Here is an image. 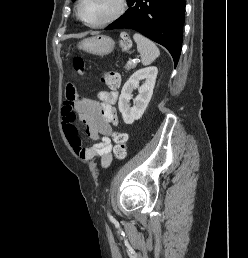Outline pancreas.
<instances>
[{"label": "pancreas", "instance_id": "cf45deb5", "mask_svg": "<svg viewBox=\"0 0 248 258\" xmlns=\"http://www.w3.org/2000/svg\"><path fill=\"white\" fill-rule=\"evenodd\" d=\"M136 65H137L136 62L127 63V64L125 65V69H126L127 71H129V70H131V69H134V68L136 67Z\"/></svg>", "mask_w": 248, "mask_h": 258}]
</instances>
